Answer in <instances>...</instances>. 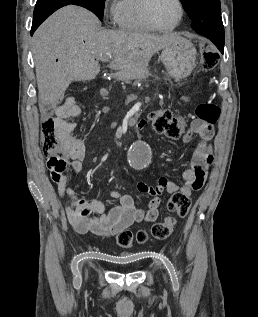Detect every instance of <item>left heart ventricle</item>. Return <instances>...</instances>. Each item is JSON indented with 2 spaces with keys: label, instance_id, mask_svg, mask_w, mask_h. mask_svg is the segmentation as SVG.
Returning a JSON list of instances; mask_svg holds the SVG:
<instances>
[{
  "label": "left heart ventricle",
  "instance_id": "1",
  "mask_svg": "<svg viewBox=\"0 0 258 317\" xmlns=\"http://www.w3.org/2000/svg\"><path fill=\"white\" fill-rule=\"evenodd\" d=\"M150 16L159 27H171L178 19L179 8L175 0H156L151 7Z\"/></svg>",
  "mask_w": 258,
  "mask_h": 317
}]
</instances>
